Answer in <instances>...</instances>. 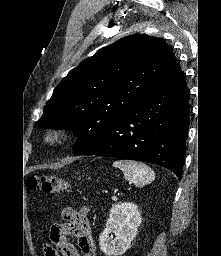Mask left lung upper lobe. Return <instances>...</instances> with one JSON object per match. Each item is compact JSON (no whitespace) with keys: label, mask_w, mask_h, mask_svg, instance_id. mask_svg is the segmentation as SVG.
I'll list each match as a JSON object with an SVG mask.
<instances>
[{"label":"left lung upper lobe","mask_w":221,"mask_h":256,"mask_svg":"<svg viewBox=\"0 0 221 256\" xmlns=\"http://www.w3.org/2000/svg\"><path fill=\"white\" fill-rule=\"evenodd\" d=\"M179 71L164 40L144 34L121 38L68 73L36 124L73 130L76 151Z\"/></svg>","instance_id":"1"}]
</instances>
